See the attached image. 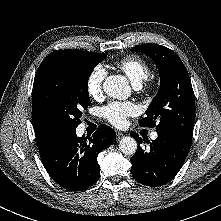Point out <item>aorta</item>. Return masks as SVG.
<instances>
[{
  "label": "aorta",
  "mask_w": 221,
  "mask_h": 221,
  "mask_svg": "<svg viewBox=\"0 0 221 221\" xmlns=\"http://www.w3.org/2000/svg\"><path fill=\"white\" fill-rule=\"evenodd\" d=\"M104 92L119 100L127 99L131 89L127 79L121 75H110L103 83ZM119 148L126 155H133L137 150V142L132 137H123L119 142Z\"/></svg>",
  "instance_id": "obj_1"
}]
</instances>
